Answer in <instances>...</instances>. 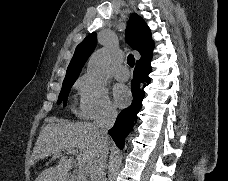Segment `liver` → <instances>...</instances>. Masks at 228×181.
I'll use <instances>...</instances> for the list:
<instances>
[{
	"instance_id": "6515ba94",
	"label": "liver",
	"mask_w": 228,
	"mask_h": 181,
	"mask_svg": "<svg viewBox=\"0 0 228 181\" xmlns=\"http://www.w3.org/2000/svg\"><path fill=\"white\" fill-rule=\"evenodd\" d=\"M46 121L48 125L40 131L30 159V165L33 167L38 161H43L51 155H62L69 149H78V165L90 167L102 147H109L112 143L109 137L105 141L98 139L93 123H67L55 117ZM72 163L73 157H62L56 167L42 171L36 181H67Z\"/></svg>"
}]
</instances>
